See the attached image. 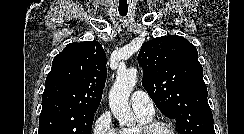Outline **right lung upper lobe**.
<instances>
[{
	"label": "right lung upper lobe",
	"mask_w": 244,
	"mask_h": 134,
	"mask_svg": "<svg viewBox=\"0 0 244 134\" xmlns=\"http://www.w3.org/2000/svg\"><path fill=\"white\" fill-rule=\"evenodd\" d=\"M106 76V54L99 42L70 43L53 59L42 104L61 101L97 109Z\"/></svg>",
	"instance_id": "1"
}]
</instances>
